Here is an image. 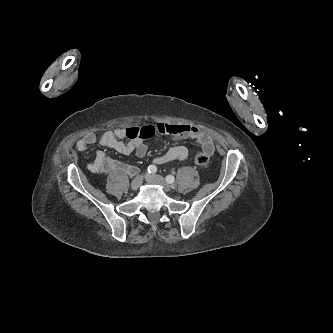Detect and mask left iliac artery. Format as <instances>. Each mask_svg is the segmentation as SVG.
I'll use <instances>...</instances> for the list:
<instances>
[{"mask_svg": "<svg viewBox=\"0 0 333 333\" xmlns=\"http://www.w3.org/2000/svg\"><path fill=\"white\" fill-rule=\"evenodd\" d=\"M167 183H173L175 181V177L173 175H168L166 177Z\"/></svg>", "mask_w": 333, "mask_h": 333, "instance_id": "1", "label": "left iliac artery"}]
</instances>
